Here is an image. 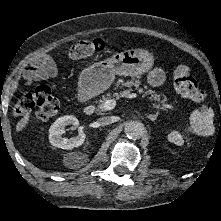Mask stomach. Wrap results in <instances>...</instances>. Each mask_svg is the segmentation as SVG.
<instances>
[{
    "mask_svg": "<svg viewBox=\"0 0 221 221\" xmlns=\"http://www.w3.org/2000/svg\"><path fill=\"white\" fill-rule=\"evenodd\" d=\"M154 64L153 55L143 49H130L95 62L83 69L78 80L82 97L92 98L103 93L119 76H138L148 72Z\"/></svg>",
    "mask_w": 221,
    "mask_h": 221,
    "instance_id": "0dacf381",
    "label": "stomach"
}]
</instances>
